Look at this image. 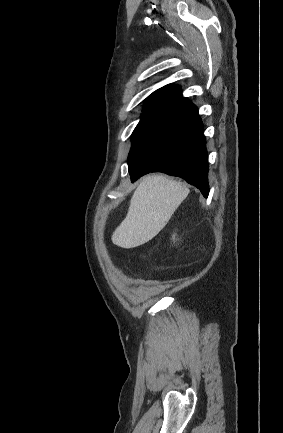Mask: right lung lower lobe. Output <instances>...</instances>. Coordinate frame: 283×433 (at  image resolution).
Wrapping results in <instances>:
<instances>
[{
  "mask_svg": "<svg viewBox=\"0 0 283 433\" xmlns=\"http://www.w3.org/2000/svg\"><path fill=\"white\" fill-rule=\"evenodd\" d=\"M206 141L197 107L187 100L146 125L128 155L131 181L150 172L185 179L208 197Z\"/></svg>",
  "mask_w": 283,
  "mask_h": 433,
  "instance_id": "right-lung-lower-lobe-1",
  "label": "right lung lower lobe"
}]
</instances>
